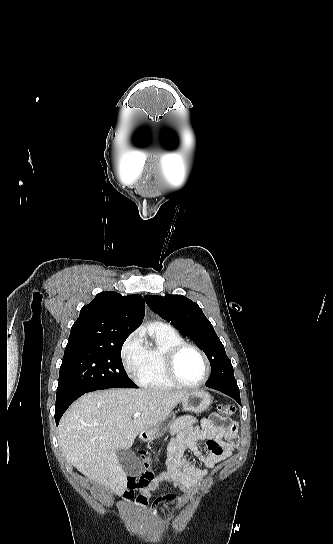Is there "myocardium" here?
<instances>
[{
    "label": "myocardium",
    "instance_id": "myocardium-1",
    "mask_svg": "<svg viewBox=\"0 0 333 544\" xmlns=\"http://www.w3.org/2000/svg\"><path fill=\"white\" fill-rule=\"evenodd\" d=\"M186 350H193L197 352L204 361L205 364V376L201 381L194 384L185 383L182 381L177 372V362L181 354ZM164 371L167 378L176 386L186 389H194L203 386L210 378L211 375V364L205 354V352L198 346L181 342L169 348L164 356Z\"/></svg>",
    "mask_w": 333,
    "mask_h": 544
}]
</instances>
